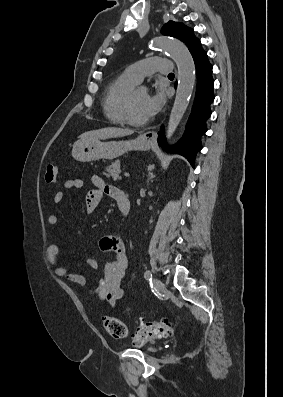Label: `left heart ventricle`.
<instances>
[{"instance_id": "obj_1", "label": "left heart ventricle", "mask_w": 283, "mask_h": 397, "mask_svg": "<svg viewBox=\"0 0 283 397\" xmlns=\"http://www.w3.org/2000/svg\"><path fill=\"white\" fill-rule=\"evenodd\" d=\"M146 97L147 93L145 91L133 92V114L138 120H144L149 118L145 112Z\"/></svg>"}]
</instances>
